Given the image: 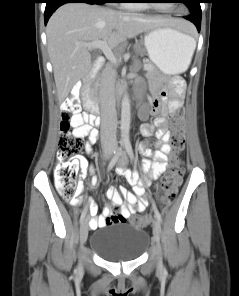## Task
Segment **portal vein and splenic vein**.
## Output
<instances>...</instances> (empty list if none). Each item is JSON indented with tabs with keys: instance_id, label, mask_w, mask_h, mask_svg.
Wrapping results in <instances>:
<instances>
[{
	"instance_id": "18ae733b",
	"label": "portal vein and splenic vein",
	"mask_w": 239,
	"mask_h": 296,
	"mask_svg": "<svg viewBox=\"0 0 239 296\" xmlns=\"http://www.w3.org/2000/svg\"><path fill=\"white\" fill-rule=\"evenodd\" d=\"M83 46L87 47L88 49H101L106 58L112 62L113 64H117L118 60L113 54L111 48L108 46L107 41L105 40H97V41H92L89 43H84L82 44ZM144 68L146 70L149 69L148 65H145Z\"/></svg>"
}]
</instances>
